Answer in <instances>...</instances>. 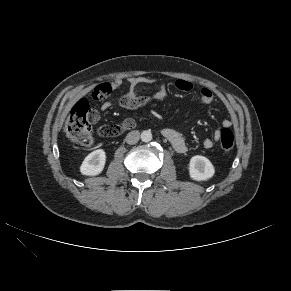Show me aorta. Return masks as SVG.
Here are the masks:
<instances>
[{
    "label": "aorta",
    "instance_id": "obj_1",
    "mask_svg": "<svg viewBox=\"0 0 291 291\" xmlns=\"http://www.w3.org/2000/svg\"><path fill=\"white\" fill-rule=\"evenodd\" d=\"M141 140L143 142H150L152 140V133L149 130H145L141 133Z\"/></svg>",
    "mask_w": 291,
    "mask_h": 291
}]
</instances>
